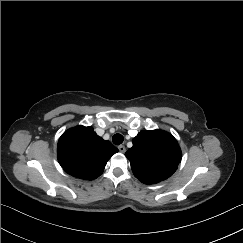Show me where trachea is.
<instances>
[{
    "mask_svg": "<svg viewBox=\"0 0 243 243\" xmlns=\"http://www.w3.org/2000/svg\"><path fill=\"white\" fill-rule=\"evenodd\" d=\"M112 141L115 145H120L124 141V137L121 134H115Z\"/></svg>",
    "mask_w": 243,
    "mask_h": 243,
    "instance_id": "1",
    "label": "trachea"
}]
</instances>
